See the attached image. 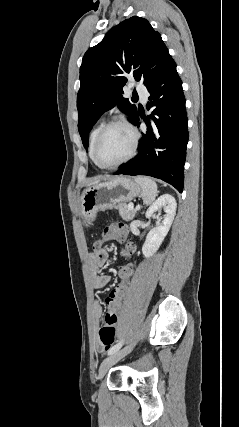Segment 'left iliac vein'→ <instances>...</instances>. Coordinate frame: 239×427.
I'll return each instance as SVG.
<instances>
[{"label": "left iliac vein", "instance_id": "obj_1", "mask_svg": "<svg viewBox=\"0 0 239 427\" xmlns=\"http://www.w3.org/2000/svg\"><path fill=\"white\" fill-rule=\"evenodd\" d=\"M133 347H134V344L127 345L123 349L116 351L115 353L111 354L106 359H104L100 365L98 378L102 379L105 376V374L108 372V370L115 363H117L119 360H121L123 357H125L127 354L131 352Z\"/></svg>", "mask_w": 239, "mask_h": 427}]
</instances>
